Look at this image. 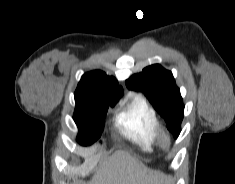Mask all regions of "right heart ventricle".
<instances>
[{"label":"right heart ventricle","mask_w":235,"mask_h":184,"mask_svg":"<svg viewBox=\"0 0 235 184\" xmlns=\"http://www.w3.org/2000/svg\"><path fill=\"white\" fill-rule=\"evenodd\" d=\"M115 121L122 134L132 143L144 150L157 146L156 132L159 127L153 107L142 97H136L120 107ZM122 159L123 155L116 156Z\"/></svg>","instance_id":"right-heart-ventricle-1"}]
</instances>
